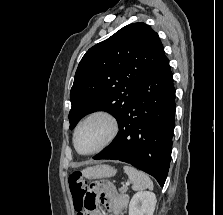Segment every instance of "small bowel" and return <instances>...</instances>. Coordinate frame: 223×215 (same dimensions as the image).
I'll return each mask as SVG.
<instances>
[{
    "label": "small bowel",
    "mask_w": 223,
    "mask_h": 215,
    "mask_svg": "<svg viewBox=\"0 0 223 215\" xmlns=\"http://www.w3.org/2000/svg\"><path fill=\"white\" fill-rule=\"evenodd\" d=\"M98 202L105 205L115 215H123L128 203V196L117 192L111 182L95 181L90 185L85 195V203L95 207L89 215H101L97 208Z\"/></svg>",
    "instance_id": "obj_1"
}]
</instances>
